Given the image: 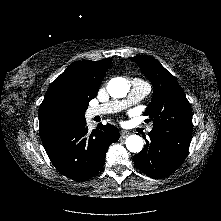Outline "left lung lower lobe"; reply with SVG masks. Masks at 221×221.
<instances>
[{
	"label": "left lung lower lobe",
	"instance_id": "1",
	"mask_svg": "<svg viewBox=\"0 0 221 221\" xmlns=\"http://www.w3.org/2000/svg\"><path fill=\"white\" fill-rule=\"evenodd\" d=\"M149 137L143 150L133 157L136 167L152 178L172 174L187 156L191 134L152 128Z\"/></svg>",
	"mask_w": 221,
	"mask_h": 221
}]
</instances>
